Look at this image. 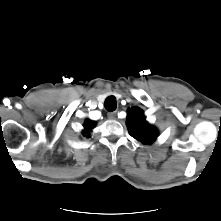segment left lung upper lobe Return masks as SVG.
Instances as JSON below:
<instances>
[{
  "instance_id": "obj_1",
  "label": "left lung upper lobe",
  "mask_w": 221,
  "mask_h": 221,
  "mask_svg": "<svg viewBox=\"0 0 221 221\" xmlns=\"http://www.w3.org/2000/svg\"><path fill=\"white\" fill-rule=\"evenodd\" d=\"M127 128L132 137L144 144L152 143L158 136L156 128L146 121L143 111L138 107L128 110Z\"/></svg>"
}]
</instances>
